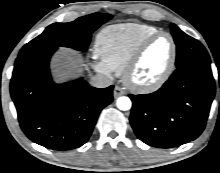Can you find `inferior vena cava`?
<instances>
[{"mask_svg":"<svg viewBox=\"0 0 220 173\" xmlns=\"http://www.w3.org/2000/svg\"><path fill=\"white\" fill-rule=\"evenodd\" d=\"M113 84V79L105 74H96L90 80V85L96 88H106Z\"/></svg>","mask_w":220,"mask_h":173,"instance_id":"602c4592","label":"inferior vena cava"}]
</instances>
